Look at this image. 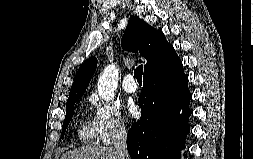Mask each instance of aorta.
Here are the masks:
<instances>
[{
  "label": "aorta",
  "mask_w": 253,
  "mask_h": 159,
  "mask_svg": "<svg viewBox=\"0 0 253 159\" xmlns=\"http://www.w3.org/2000/svg\"><path fill=\"white\" fill-rule=\"evenodd\" d=\"M118 77V69L113 64L103 70L97 83L98 94L101 98L108 101L114 97L118 85Z\"/></svg>",
  "instance_id": "762f6f07"
}]
</instances>
